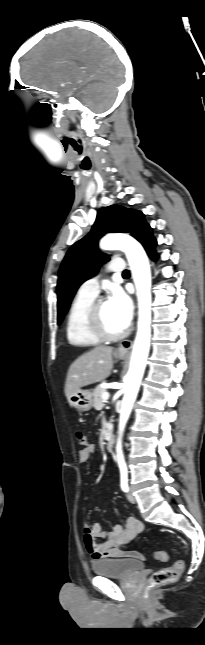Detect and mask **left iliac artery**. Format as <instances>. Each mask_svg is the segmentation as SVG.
I'll list each match as a JSON object with an SVG mask.
<instances>
[{
    "instance_id": "44dca946",
    "label": "left iliac artery",
    "mask_w": 205,
    "mask_h": 645,
    "mask_svg": "<svg viewBox=\"0 0 205 645\" xmlns=\"http://www.w3.org/2000/svg\"><path fill=\"white\" fill-rule=\"evenodd\" d=\"M120 473H121V489L124 492H128V471L126 465L122 464L120 465Z\"/></svg>"
}]
</instances>
